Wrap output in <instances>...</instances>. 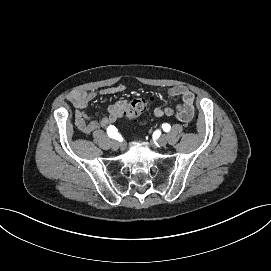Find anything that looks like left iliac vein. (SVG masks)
<instances>
[{"label": "left iliac vein", "mask_w": 271, "mask_h": 271, "mask_svg": "<svg viewBox=\"0 0 271 271\" xmlns=\"http://www.w3.org/2000/svg\"><path fill=\"white\" fill-rule=\"evenodd\" d=\"M157 143L160 145V146H165L167 144V137L165 135L163 136H160L158 139H157Z\"/></svg>", "instance_id": "1"}]
</instances>
